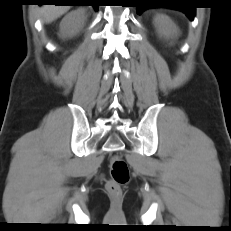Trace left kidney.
<instances>
[{
  "instance_id": "obj_1",
  "label": "left kidney",
  "mask_w": 231,
  "mask_h": 231,
  "mask_svg": "<svg viewBox=\"0 0 231 231\" xmlns=\"http://www.w3.org/2000/svg\"><path fill=\"white\" fill-rule=\"evenodd\" d=\"M154 23L161 37L166 39L177 37L178 28L168 16L159 14L154 18Z\"/></svg>"
}]
</instances>
